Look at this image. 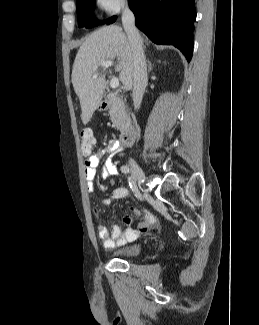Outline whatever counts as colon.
Masks as SVG:
<instances>
[{
  "label": "colon",
  "instance_id": "colon-1",
  "mask_svg": "<svg viewBox=\"0 0 259 325\" xmlns=\"http://www.w3.org/2000/svg\"><path fill=\"white\" fill-rule=\"evenodd\" d=\"M95 144V139L92 133V130L89 128H85L81 130L80 132V146H81V151L84 155H89ZM156 221L154 220L153 222L146 224V223H140L139 224V229L142 232H148L151 230H154L156 228Z\"/></svg>",
  "mask_w": 259,
  "mask_h": 325
}]
</instances>
